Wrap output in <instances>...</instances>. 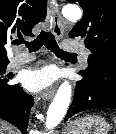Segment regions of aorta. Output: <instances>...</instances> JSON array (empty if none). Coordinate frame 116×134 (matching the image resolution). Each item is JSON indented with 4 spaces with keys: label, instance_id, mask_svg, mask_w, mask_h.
Wrapping results in <instances>:
<instances>
[{
    "label": "aorta",
    "instance_id": "aorta-1",
    "mask_svg": "<svg viewBox=\"0 0 116 134\" xmlns=\"http://www.w3.org/2000/svg\"><path fill=\"white\" fill-rule=\"evenodd\" d=\"M63 15L66 19L75 21L81 18L82 12L77 5L71 4L63 8ZM71 92L72 90L69 82L65 81L63 84H61L47 111V129L56 127L64 118L71 100Z\"/></svg>",
    "mask_w": 116,
    "mask_h": 134
}]
</instances>
